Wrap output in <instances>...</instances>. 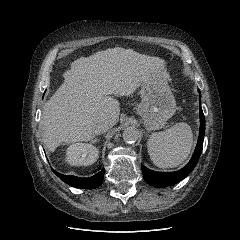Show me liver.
<instances>
[{
  "label": "liver",
  "instance_id": "1",
  "mask_svg": "<svg viewBox=\"0 0 240 240\" xmlns=\"http://www.w3.org/2000/svg\"><path fill=\"white\" fill-rule=\"evenodd\" d=\"M157 74L169 79L164 60L121 47L75 60L64 73V83L44 104V145L54 151L62 143L90 141L105 118L111 128L120 113L113 96H129Z\"/></svg>",
  "mask_w": 240,
  "mask_h": 240
}]
</instances>
